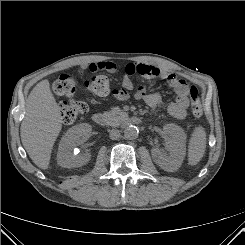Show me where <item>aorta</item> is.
Returning a JSON list of instances; mask_svg holds the SVG:
<instances>
[{
  "label": "aorta",
  "mask_w": 245,
  "mask_h": 245,
  "mask_svg": "<svg viewBox=\"0 0 245 245\" xmlns=\"http://www.w3.org/2000/svg\"><path fill=\"white\" fill-rule=\"evenodd\" d=\"M139 130L134 125H129L124 129V136L129 140H134L138 137Z\"/></svg>",
  "instance_id": "obj_1"
}]
</instances>
